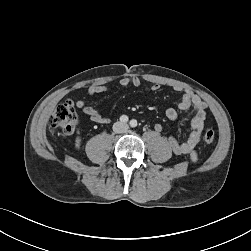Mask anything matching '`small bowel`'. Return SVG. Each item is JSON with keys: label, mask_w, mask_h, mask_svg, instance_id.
<instances>
[{"label": "small bowel", "mask_w": 251, "mask_h": 251, "mask_svg": "<svg viewBox=\"0 0 251 251\" xmlns=\"http://www.w3.org/2000/svg\"><path fill=\"white\" fill-rule=\"evenodd\" d=\"M141 85V79L137 76L123 77L119 81L120 88L139 87ZM115 87L112 85H92L88 89V94L94 96L96 94L105 93L113 90ZM151 91L155 92L160 89L159 84H153L150 87ZM175 91L182 92V98L178 105V108L182 111L193 110L194 114L191 119V131L188 137L184 140H179L173 136L169 138V144L173 152L177 155L186 154L189 155L192 161L197 160L196 146L199 144L204 128V122L206 118V103L194 92L189 89H183L176 87ZM76 106L86 114L89 119L98 124H107L110 122V118L102 115L100 108H95L88 105L85 101H78ZM166 117L171 121H179V113L174 108H167L165 110ZM157 132L162 131L160 124L155 125ZM79 146V142L77 143Z\"/></svg>", "instance_id": "obj_1"}]
</instances>
